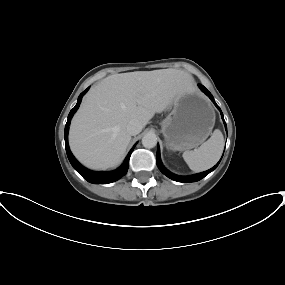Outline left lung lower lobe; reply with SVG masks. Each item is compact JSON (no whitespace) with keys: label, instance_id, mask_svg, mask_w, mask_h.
Instances as JSON below:
<instances>
[{"label":"left lung lower lobe","instance_id":"0a47b994","mask_svg":"<svg viewBox=\"0 0 285 285\" xmlns=\"http://www.w3.org/2000/svg\"><path fill=\"white\" fill-rule=\"evenodd\" d=\"M199 88L211 99V101L216 105V107L220 110L221 112V109L219 108V106L215 103L214 101V98L213 96L211 95V93L202 85L199 84ZM221 116H222V119L224 121V117H223V114L221 112ZM224 124H225V127H226V123L224 121ZM227 129V127H226ZM156 162H157V166L159 168V170L164 174L166 175L168 178L172 179V180H175L177 182H183V183H188V182H195V181H199L201 180L202 178H204L207 174H209L211 171H213L219 164V162L214 166L212 167L211 169L205 171V172H202V173H199V174H195V175H192V176H178V175H175L171 172H169L167 169H165V167L163 166L162 162H161V158H160V148L158 147V150H157V154H156Z\"/></svg>","mask_w":285,"mask_h":285}]
</instances>
